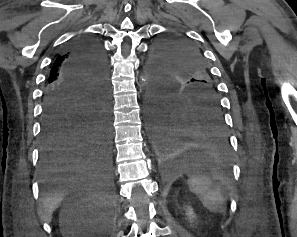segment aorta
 Segmentation results:
<instances>
[{
    "mask_svg": "<svg viewBox=\"0 0 297 237\" xmlns=\"http://www.w3.org/2000/svg\"><path fill=\"white\" fill-rule=\"evenodd\" d=\"M140 83H141V86L143 87L146 83V78L142 77Z\"/></svg>",
    "mask_w": 297,
    "mask_h": 237,
    "instance_id": "obj_1",
    "label": "aorta"
}]
</instances>
